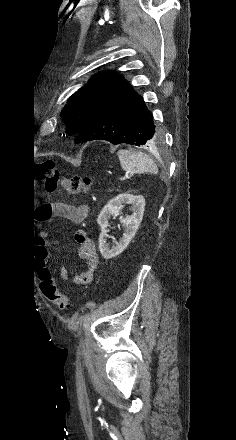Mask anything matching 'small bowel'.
Instances as JSON below:
<instances>
[{
	"mask_svg": "<svg viewBox=\"0 0 236 440\" xmlns=\"http://www.w3.org/2000/svg\"><path fill=\"white\" fill-rule=\"evenodd\" d=\"M38 216L41 220L52 221L57 218H66L73 223L83 222L88 215V207L83 204H74L67 201H57L51 204L40 206ZM75 241L79 244V255L85 261L86 268L83 272L73 276L72 282L76 285H85L90 283L99 267V258L95 250V245L83 231H77L74 235ZM52 245H56L53 241ZM39 260L40 256H37ZM36 269L39 273L40 284L43 279H46V271L42 261H38ZM60 277L63 281L69 280L68 270L66 266L60 268Z\"/></svg>",
	"mask_w": 236,
	"mask_h": 440,
	"instance_id": "obj_1",
	"label": "small bowel"
}]
</instances>
